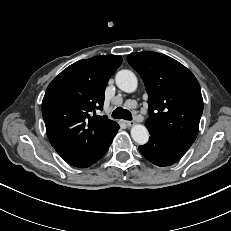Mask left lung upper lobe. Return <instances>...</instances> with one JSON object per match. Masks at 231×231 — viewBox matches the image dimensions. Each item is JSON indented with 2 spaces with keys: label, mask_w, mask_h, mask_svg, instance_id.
Returning <instances> with one entry per match:
<instances>
[{
  "label": "left lung upper lobe",
  "mask_w": 231,
  "mask_h": 231,
  "mask_svg": "<svg viewBox=\"0 0 231 231\" xmlns=\"http://www.w3.org/2000/svg\"><path fill=\"white\" fill-rule=\"evenodd\" d=\"M129 64L141 75L148 93L146 127L190 147L203 112L200 85L178 61L160 53H132Z\"/></svg>",
  "instance_id": "1"
}]
</instances>
